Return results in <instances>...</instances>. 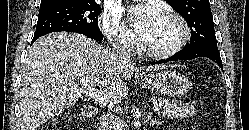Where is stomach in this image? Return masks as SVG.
Masks as SVG:
<instances>
[{
    "mask_svg": "<svg viewBox=\"0 0 249 130\" xmlns=\"http://www.w3.org/2000/svg\"><path fill=\"white\" fill-rule=\"evenodd\" d=\"M140 84L152 91L174 98L185 95L191 87V82L185 75L170 70L141 77Z\"/></svg>",
    "mask_w": 249,
    "mask_h": 130,
    "instance_id": "obj_1",
    "label": "stomach"
}]
</instances>
